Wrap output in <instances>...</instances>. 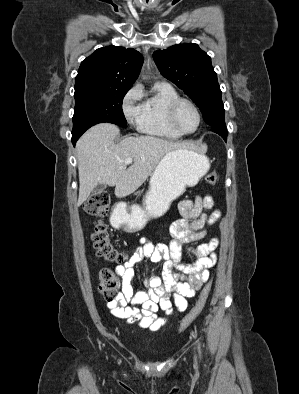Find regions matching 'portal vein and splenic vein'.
<instances>
[{
  "instance_id": "1",
  "label": "portal vein and splenic vein",
  "mask_w": 299,
  "mask_h": 394,
  "mask_svg": "<svg viewBox=\"0 0 299 394\" xmlns=\"http://www.w3.org/2000/svg\"><path fill=\"white\" fill-rule=\"evenodd\" d=\"M132 162H133L132 158H127V159L124 160L125 164H132Z\"/></svg>"
}]
</instances>
